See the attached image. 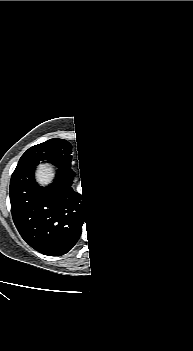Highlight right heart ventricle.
Segmentation results:
<instances>
[{
  "instance_id": "right-heart-ventricle-1",
  "label": "right heart ventricle",
  "mask_w": 193,
  "mask_h": 351,
  "mask_svg": "<svg viewBox=\"0 0 193 351\" xmlns=\"http://www.w3.org/2000/svg\"><path fill=\"white\" fill-rule=\"evenodd\" d=\"M118 153V151H111V153H107L106 155H105V157H106V159H108L109 161H113V159H115V158H117V154Z\"/></svg>"
}]
</instances>
